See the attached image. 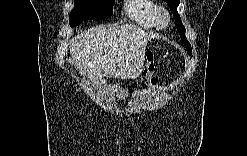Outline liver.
Segmentation results:
<instances>
[{"label": "liver", "mask_w": 247, "mask_h": 156, "mask_svg": "<svg viewBox=\"0 0 247 156\" xmlns=\"http://www.w3.org/2000/svg\"><path fill=\"white\" fill-rule=\"evenodd\" d=\"M157 38L134 25L98 26L74 37L72 61L91 80L102 77L134 79L143 70L146 46Z\"/></svg>", "instance_id": "6515ba94"}]
</instances>
